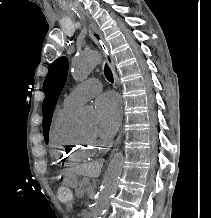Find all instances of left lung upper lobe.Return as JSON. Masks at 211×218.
Here are the masks:
<instances>
[{
  "label": "left lung upper lobe",
  "instance_id": "1",
  "mask_svg": "<svg viewBox=\"0 0 211 218\" xmlns=\"http://www.w3.org/2000/svg\"><path fill=\"white\" fill-rule=\"evenodd\" d=\"M67 71L68 60L66 57H60L50 66L43 83V91L45 93V99L43 101V130L46 143L48 142V132L54 107L65 84Z\"/></svg>",
  "mask_w": 211,
  "mask_h": 218
}]
</instances>
